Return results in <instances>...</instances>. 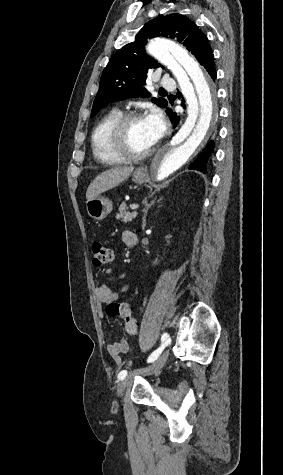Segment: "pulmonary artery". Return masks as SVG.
I'll use <instances>...</instances> for the list:
<instances>
[{
  "label": "pulmonary artery",
  "instance_id": "obj_1",
  "mask_svg": "<svg viewBox=\"0 0 283 475\" xmlns=\"http://www.w3.org/2000/svg\"><path fill=\"white\" fill-rule=\"evenodd\" d=\"M172 85L170 80H161L159 83L161 89H170Z\"/></svg>",
  "mask_w": 283,
  "mask_h": 475
}]
</instances>
